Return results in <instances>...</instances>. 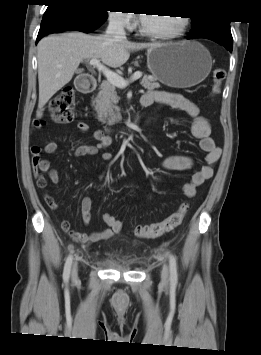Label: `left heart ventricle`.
<instances>
[{
  "label": "left heart ventricle",
  "instance_id": "b2bd125f",
  "mask_svg": "<svg viewBox=\"0 0 261 355\" xmlns=\"http://www.w3.org/2000/svg\"><path fill=\"white\" fill-rule=\"evenodd\" d=\"M142 22L147 30L157 33H172L180 26L179 17L155 15L152 13L144 15Z\"/></svg>",
  "mask_w": 261,
  "mask_h": 355
}]
</instances>
